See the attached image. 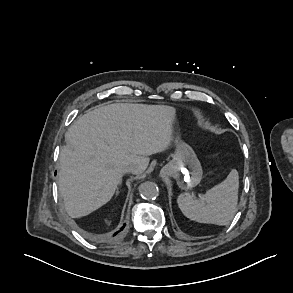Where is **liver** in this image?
<instances>
[{"label": "liver", "instance_id": "1", "mask_svg": "<svg viewBox=\"0 0 293 293\" xmlns=\"http://www.w3.org/2000/svg\"><path fill=\"white\" fill-rule=\"evenodd\" d=\"M176 111L170 106L115 103L80 116L65 134L59 191L72 218L86 216L113 197L130 166L141 174L150 155L171 143Z\"/></svg>", "mask_w": 293, "mask_h": 293}]
</instances>
